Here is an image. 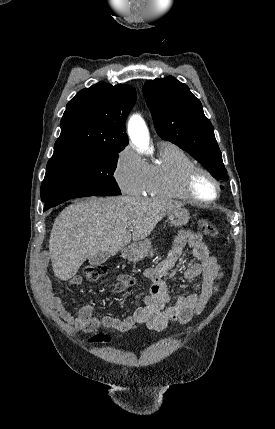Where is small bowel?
Returning a JSON list of instances; mask_svg holds the SVG:
<instances>
[{"label": "small bowel", "mask_w": 275, "mask_h": 429, "mask_svg": "<svg viewBox=\"0 0 275 429\" xmlns=\"http://www.w3.org/2000/svg\"><path fill=\"white\" fill-rule=\"evenodd\" d=\"M187 247L191 249L197 262L186 268L183 275L187 280L200 277V287L196 292L179 294L175 303L171 304L172 297L163 277L183 258ZM145 276L151 282L150 293L144 298L143 306L136 308L131 315L124 318L95 317L94 306L91 304L83 305L78 314L73 316L65 302L49 285L43 287V295L49 307L63 321L83 333H92L100 328L127 332L135 330L141 324H146L154 331H163L170 321L185 324L199 315L212 296L217 293L223 272L217 259L210 254L207 245L203 242L201 234L182 231L175 238L167 258L156 267L146 269ZM82 281L80 275H74L69 279L72 286H79ZM133 284L134 279L130 275L121 274L117 277L114 292L122 293Z\"/></svg>", "instance_id": "small-bowel-1"}]
</instances>
